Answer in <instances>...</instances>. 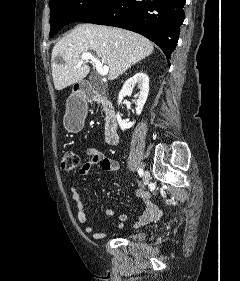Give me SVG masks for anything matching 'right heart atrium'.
Here are the masks:
<instances>
[{
	"label": "right heart atrium",
	"instance_id": "obj_1",
	"mask_svg": "<svg viewBox=\"0 0 240 281\" xmlns=\"http://www.w3.org/2000/svg\"><path fill=\"white\" fill-rule=\"evenodd\" d=\"M102 2V0H85V5L89 8H94L99 6Z\"/></svg>",
	"mask_w": 240,
	"mask_h": 281
}]
</instances>
